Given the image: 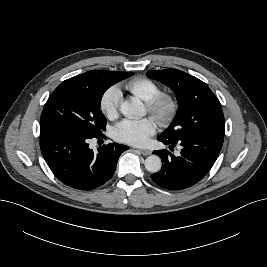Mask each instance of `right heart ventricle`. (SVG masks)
<instances>
[{"label":"right heart ventricle","instance_id":"obj_1","mask_svg":"<svg viewBox=\"0 0 267 267\" xmlns=\"http://www.w3.org/2000/svg\"><path fill=\"white\" fill-rule=\"evenodd\" d=\"M125 88L145 102L152 100L161 92L159 84L147 77L133 78L125 84Z\"/></svg>","mask_w":267,"mask_h":267}]
</instances>
